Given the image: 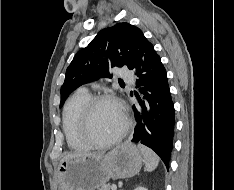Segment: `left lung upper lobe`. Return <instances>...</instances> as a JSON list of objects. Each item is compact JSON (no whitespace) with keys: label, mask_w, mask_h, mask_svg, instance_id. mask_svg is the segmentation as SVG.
Segmentation results:
<instances>
[{"label":"left lung upper lobe","mask_w":234,"mask_h":190,"mask_svg":"<svg viewBox=\"0 0 234 190\" xmlns=\"http://www.w3.org/2000/svg\"><path fill=\"white\" fill-rule=\"evenodd\" d=\"M144 40L142 31L129 23H118L101 30L68 66L61 87L60 106L82 84L100 77L112 78L110 67L125 65L131 69Z\"/></svg>","instance_id":"left-lung-upper-lobe-1"}]
</instances>
